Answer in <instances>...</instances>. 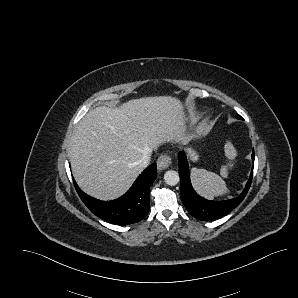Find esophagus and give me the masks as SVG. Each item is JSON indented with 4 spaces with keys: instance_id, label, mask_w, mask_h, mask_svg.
Segmentation results:
<instances>
[{
    "instance_id": "34e87169",
    "label": "esophagus",
    "mask_w": 298,
    "mask_h": 298,
    "mask_svg": "<svg viewBox=\"0 0 298 298\" xmlns=\"http://www.w3.org/2000/svg\"><path fill=\"white\" fill-rule=\"evenodd\" d=\"M171 165V158L168 155H161L157 159V167L159 171H164Z\"/></svg>"
}]
</instances>
